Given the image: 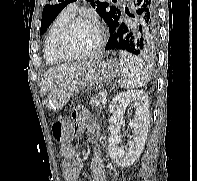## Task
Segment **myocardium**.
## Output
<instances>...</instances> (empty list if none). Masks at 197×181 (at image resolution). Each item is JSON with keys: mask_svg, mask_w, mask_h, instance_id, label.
<instances>
[{"mask_svg": "<svg viewBox=\"0 0 197 181\" xmlns=\"http://www.w3.org/2000/svg\"><path fill=\"white\" fill-rule=\"evenodd\" d=\"M80 23H91L93 24L97 31H98V39L95 47L90 50L89 52L86 53H81V54H75V55H69L65 52L64 47H63V42L68 34V32L77 24ZM105 42V31L101 24L93 17L87 16V15H80V16H74L71 19H69L64 26L61 28L60 32L58 33V36L56 38L55 42V48L56 52L59 55V57L63 61H74V60H82V59H88L92 58L95 55H97L100 50L102 49L103 45Z\"/></svg>", "mask_w": 197, "mask_h": 181, "instance_id": "myocardium-1", "label": "myocardium"}]
</instances>
